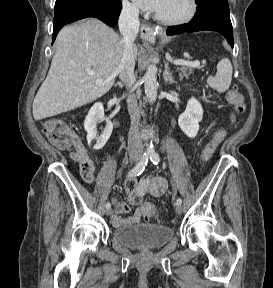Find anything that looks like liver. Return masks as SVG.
<instances>
[{"instance_id": "1", "label": "liver", "mask_w": 273, "mask_h": 288, "mask_svg": "<svg viewBox=\"0 0 273 288\" xmlns=\"http://www.w3.org/2000/svg\"><path fill=\"white\" fill-rule=\"evenodd\" d=\"M123 47V38L98 19L62 28L48 75L33 101L34 119L73 110L105 95L115 83ZM137 53L135 46V57Z\"/></svg>"}]
</instances>
